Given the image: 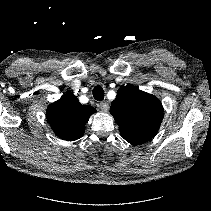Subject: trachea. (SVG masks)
<instances>
[{"label": "trachea", "instance_id": "1", "mask_svg": "<svg viewBox=\"0 0 211 211\" xmlns=\"http://www.w3.org/2000/svg\"><path fill=\"white\" fill-rule=\"evenodd\" d=\"M93 97L98 101H102L104 99L103 88L100 86H95L93 89Z\"/></svg>", "mask_w": 211, "mask_h": 211}]
</instances>
